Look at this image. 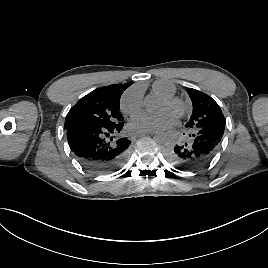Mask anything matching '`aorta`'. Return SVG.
<instances>
[{
  "label": "aorta",
  "mask_w": 268,
  "mask_h": 268,
  "mask_svg": "<svg viewBox=\"0 0 268 268\" xmlns=\"http://www.w3.org/2000/svg\"><path fill=\"white\" fill-rule=\"evenodd\" d=\"M147 104L150 105L149 100H147ZM150 106H151V105H150ZM166 138H167V135H166V133H165L164 131H162V130L156 131V132L154 133V140H155L156 142L162 143V142H164V141L166 140Z\"/></svg>",
  "instance_id": "1"
}]
</instances>
